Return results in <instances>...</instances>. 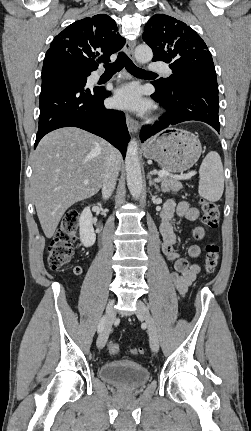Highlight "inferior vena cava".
<instances>
[{
	"mask_svg": "<svg viewBox=\"0 0 251 431\" xmlns=\"http://www.w3.org/2000/svg\"><path fill=\"white\" fill-rule=\"evenodd\" d=\"M119 173V167L115 156V150L112 148L109 155L107 156L106 168L103 177L102 185V197L108 199L112 195L117 177Z\"/></svg>",
	"mask_w": 251,
	"mask_h": 431,
	"instance_id": "obj_1",
	"label": "inferior vena cava"
}]
</instances>
